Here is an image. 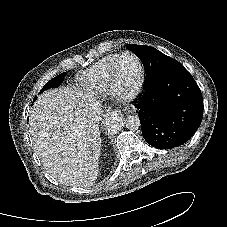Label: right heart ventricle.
<instances>
[{"label":"right heart ventricle","mask_w":227,"mask_h":227,"mask_svg":"<svg viewBox=\"0 0 227 227\" xmlns=\"http://www.w3.org/2000/svg\"><path fill=\"white\" fill-rule=\"evenodd\" d=\"M118 54L108 55L92 65L82 76L81 86L92 92L105 93L110 91L109 70Z\"/></svg>","instance_id":"e07e8e85"}]
</instances>
